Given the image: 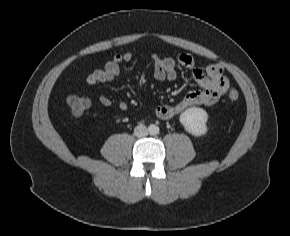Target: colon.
I'll use <instances>...</instances> for the list:
<instances>
[{"instance_id":"5ec220e1","label":"colon","mask_w":290,"mask_h":236,"mask_svg":"<svg viewBox=\"0 0 290 236\" xmlns=\"http://www.w3.org/2000/svg\"><path fill=\"white\" fill-rule=\"evenodd\" d=\"M240 97V94L237 90H230L228 93V98L230 101H237ZM67 104L71 112L78 116L83 114L90 107V100L83 96L70 95L67 97Z\"/></svg>"}]
</instances>
